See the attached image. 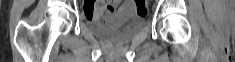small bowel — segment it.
Returning <instances> with one entry per match:
<instances>
[{"label":"small bowel","instance_id":"obj_1","mask_svg":"<svg viewBox=\"0 0 235 62\" xmlns=\"http://www.w3.org/2000/svg\"><path fill=\"white\" fill-rule=\"evenodd\" d=\"M104 4H105V6L108 7V9L110 11V14H111V13H113L117 9V7L119 5V0L109 1V2H106ZM91 5H93V3H87L86 6H85V10H86L87 7H89ZM132 6H133V4L131 2H126L124 4L125 8H131Z\"/></svg>","mask_w":235,"mask_h":62}]
</instances>
